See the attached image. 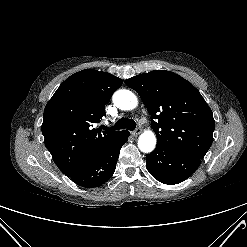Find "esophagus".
Listing matches in <instances>:
<instances>
[{"instance_id":"obj_1","label":"esophagus","mask_w":247,"mask_h":247,"mask_svg":"<svg viewBox=\"0 0 247 247\" xmlns=\"http://www.w3.org/2000/svg\"><path fill=\"white\" fill-rule=\"evenodd\" d=\"M141 132H142V129H141V128H136V129L132 132V135H133V136H138Z\"/></svg>"}]
</instances>
